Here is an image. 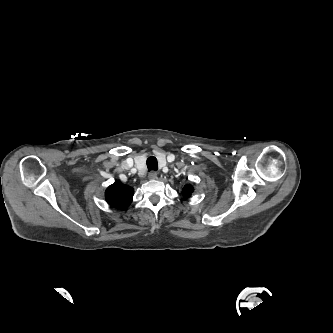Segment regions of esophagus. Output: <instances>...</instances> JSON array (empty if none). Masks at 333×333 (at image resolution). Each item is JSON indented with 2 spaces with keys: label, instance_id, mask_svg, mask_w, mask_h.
Instances as JSON below:
<instances>
[{
  "label": "esophagus",
  "instance_id": "obj_1",
  "mask_svg": "<svg viewBox=\"0 0 333 333\" xmlns=\"http://www.w3.org/2000/svg\"><path fill=\"white\" fill-rule=\"evenodd\" d=\"M149 179H157L158 173L155 171H151L148 175Z\"/></svg>",
  "mask_w": 333,
  "mask_h": 333
}]
</instances>
